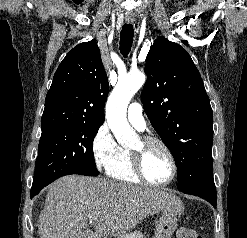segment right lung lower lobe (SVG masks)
I'll return each instance as SVG.
<instances>
[{
	"label": "right lung lower lobe",
	"instance_id": "obj_1",
	"mask_svg": "<svg viewBox=\"0 0 247 238\" xmlns=\"http://www.w3.org/2000/svg\"><path fill=\"white\" fill-rule=\"evenodd\" d=\"M40 191L37 192H31V198H33L35 195H37Z\"/></svg>",
	"mask_w": 247,
	"mask_h": 238
}]
</instances>
